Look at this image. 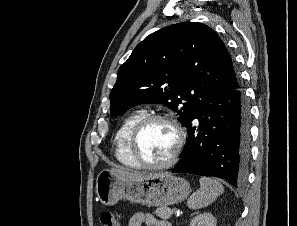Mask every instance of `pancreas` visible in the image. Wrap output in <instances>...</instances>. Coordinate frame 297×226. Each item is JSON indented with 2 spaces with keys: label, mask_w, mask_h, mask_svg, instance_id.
I'll return each mask as SVG.
<instances>
[{
  "label": "pancreas",
  "mask_w": 297,
  "mask_h": 226,
  "mask_svg": "<svg viewBox=\"0 0 297 226\" xmlns=\"http://www.w3.org/2000/svg\"><path fill=\"white\" fill-rule=\"evenodd\" d=\"M173 213H174V212H173L170 208H168V207H160V208H157V209L155 210V212H154V214H155L157 217H159V218H161V219H163V220L170 219Z\"/></svg>",
  "instance_id": "pancreas-1"
}]
</instances>
